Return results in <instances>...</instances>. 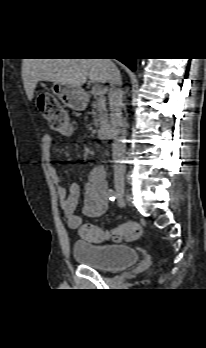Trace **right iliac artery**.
I'll return each instance as SVG.
<instances>
[{"label":"right iliac artery","mask_w":206,"mask_h":348,"mask_svg":"<svg viewBox=\"0 0 206 348\" xmlns=\"http://www.w3.org/2000/svg\"><path fill=\"white\" fill-rule=\"evenodd\" d=\"M116 196H117L116 191L113 190V189H109V191H108V197H109V199H110L111 201H114L115 198H116Z\"/></svg>","instance_id":"obj_1"}]
</instances>
